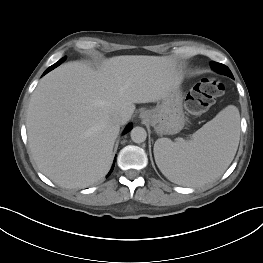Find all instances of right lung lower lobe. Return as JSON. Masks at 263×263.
I'll return each instance as SVG.
<instances>
[{"instance_id":"1","label":"right lung lower lobe","mask_w":263,"mask_h":263,"mask_svg":"<svg viewBox=\"0 0 263 263\" xmlns=\"http://www.w3.org/2000/svg\"><path fill=\"white\" fill-rule=\"evenodd\" d=\"M65 60H66V57H64V58H62L61 60H59L57 63H55L54 65H52L51 67H49V68L44 72L43 75H45V74L48 73L49 71L53 70V69L56 68L57 66H59V65H60L63 61H65ZM131 128H132L131 124L128 125V126L126 127L124 133H127L128 131H130ZM113 168H114V165H113L112 169L110 170L109 174H111ZM109 174H108V175H109Z\"/></svg>"}]
</instances>
